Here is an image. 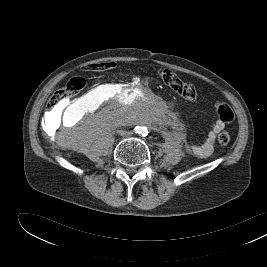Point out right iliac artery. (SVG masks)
I'll use <instances>...</instances> for the list:
<instances>
[{
    "label": "right iliac artery",
    "mask_w": 267,
    "mask_h": 267,
    "mask_svg": "<svg viewBox=\"0 0 267 267\" xmlns=\"http://www.w3.org/2000/svg\"><path fill=\"white\" fill-rule=\"evenodd\" d=\"M139 127L137 126L136 128H135V131H136V133H139Z\"/></svg>",
    "instance_id": "obj_1"
}]
</instances>
